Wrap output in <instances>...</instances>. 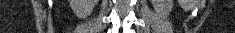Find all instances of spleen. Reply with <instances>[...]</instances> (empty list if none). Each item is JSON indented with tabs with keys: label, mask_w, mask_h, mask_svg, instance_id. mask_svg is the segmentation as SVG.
<instances>
[{
	"label": "spleen",
	"mask_w": 235,
	"mask_h": 33,
	"mask_svg": "<svg viewBox=\"0 0 235 33\" xmlns=\"http://www.w3.org/2000/svg\"><path fill=\"white\" fill-rule=\"evenodd\" d=\"M184 7L187 8V9H189L191 6H190V4H187V5H185Z\"/></svg>",
	"instance_id": "3e777b00"
}]
</instances>
